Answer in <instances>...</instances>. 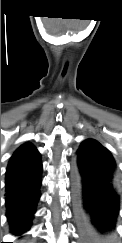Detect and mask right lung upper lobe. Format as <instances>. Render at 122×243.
<instances>
[{
    "label": "right lung upper lobe",
    "instance_id": "cb5924a9",
    "mask_svg": "<svg viewBox=\"0 0 122 243\" xmlns=\"http://www.w3.org/2000/svg\"><path fill=\"white\" fill-rule=\"evenodd\" d=\"M39 165H41L39 152L31 143H25L10 158L6 179Z\"/></svg>",
    "mask_w": 122,
    "mask_h": 243
}]
</instances>
